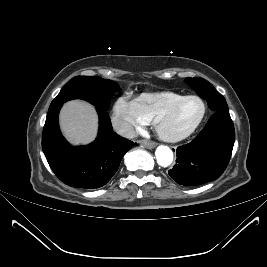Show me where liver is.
Segmentation results:
<instances>
[{"instance_id":"6515ba94","label":"liver","mask_w":267,"mask_h":267,"mask_svg":"<svg viewBox=\"0 0 267 267\" xmlns=\"http://www.w3.org/2000/svg\"><path fill=\"white\" fill-rule=\"evenodd\" d=\"M59 122L65 137L74 144H88L96 137L98 116L88 102L72 100L65 103L60 111Z\"/></svg>"}]
</instances>
